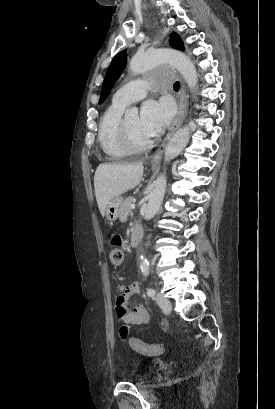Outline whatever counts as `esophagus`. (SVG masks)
<instances>
[{"label":"esophagus","instance_id":"esophagus-1","mask_svg":"<svg viewBox=\"0 0 275 409\" xmlns=\"http://www.w3.org/2000/svg\"><path fill=\"white\" fill-rule=\"evenodd\" d=\"M186 105H187V95H186V89L185 86L182 84L181 89H180V97H179V102H178V108H179V112L178 115L175 119V121L173 122L172 126L170 127L165 139L163 140L162 144L160 145V147L158 148V150L156 151L155 155H154V159L153 160H159L164 152V149L167 145V143L169 142L170 138L174 135V133L176 132V130L180 127V125L182 124L185 115H186Z\"/></svg>","mask_w":275,"mask_h":409}]
</instances>
